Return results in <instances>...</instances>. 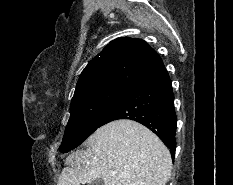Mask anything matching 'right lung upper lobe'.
<instances>
[{
  "instance_id": "1",
  "label": "right lung upper lobe",
  "mask_w": 233,
  "mask_h": 185,
  "mask_svg": "<svg viewBox=\"0 0 233 185\" xmlns=\"http://www.w3.org/2000/svg\"><path fill=\"white\" fill-rule=\"evenodd\" d=\"M164 69L163 61L146 42L119 38L112 41L85 67L73 98L109 87L132 90Z\"/></svg>"
}]
</instances>
